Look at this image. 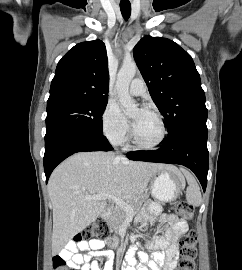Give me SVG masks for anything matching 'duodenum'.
<instances>
[{"label": "duodenum", "mask_w": 242, "mask_h": 270, "mask_svg": "<svg viewBox=\"0 0 242 270\" xmlns=\"http://www.w3.org/2000/svg\"><path fill=\"white\" fill-rule=\"evenodd\" d=\"M111 210L109 208L105 209L103 212V218L107 219L110 216ZM113 245H116L117 243L115 241L112 242Z\"/></svg>", "instance_id": "duodenum-1"}]
</instances>
